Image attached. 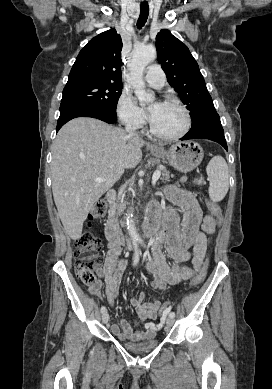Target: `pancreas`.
Returning <instances> with one entry per match:
<instances>
[{"label":"pancreas","mask_w":272,"mask_h":389,"mask_svg":"<svg viewBox=\"0 0 272 389\" xmlns=\"http://www.w3.org/2000/svg\"><path fill=\"white\" fill-rule=\"evenodd\" d=\"M160 170L163 172L161 180L167 182L170 178L169 171L165 166L161 167ZM125 209V202L123 199H120L119 202L114 203L110 208V216H118Z\"/></svg>","instance_id":"obj_1"}]
</instances>
